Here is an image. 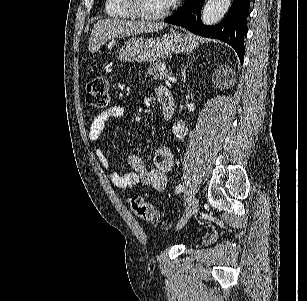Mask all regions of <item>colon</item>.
Masks as SVG:
<instances>
[{
  "mask_svg": "<svg viewBox=\"0 0 307 301\" xmlns=\"http://www.w3.org/2000/svg\"><path fill=\"white\" fill-rule=\"evenodd\" d=\"M86 99L96 108H104L110 100L108 79L105 75H99L90 80L86 87ZM133 212L142 220L151 223H160L158 210L140 196L131 199Z\"/></svg>",
  "mask_w": 307,
  "mask_h": 301,
  "instance_id": "obj_1",
  "label": "colon"
}]
</instances>
